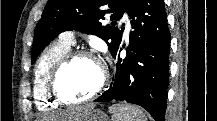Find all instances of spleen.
I'll use <instances>...</instances> for the list:
<instances>
[{
    "mask_svg": "<svg viewBox=\"0 0 217 121\" xmlns=\"http://www.w3.org/2000/svg\"><path fill=\"white\" fill-rule=\"evenodd\" d=\"M113 121H146L142 110L128 103H117L109 107Z\"/></svg>",
    "mask_w": 217,
    "mask_h": 121,
    "instance_id": "obj_1",
    "label": "spleen"
}]
</instances>
